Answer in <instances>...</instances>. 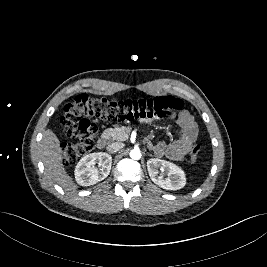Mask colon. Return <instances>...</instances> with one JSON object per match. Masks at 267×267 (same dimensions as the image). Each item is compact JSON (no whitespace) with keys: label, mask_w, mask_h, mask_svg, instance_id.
Masks as SVG:
<instances>
[{"label":"colon","mask_w":267,"mask_h":267,"mask_svg":"<svg viewBox=\"0 0 267 267\" xmlns=\"http://www.w3.org/2000/svg\"><path fill=\"white\" fill-rule=\"evenodd\" d=\"M184 111V102L173 96L114 100L104 96L77 95L65 105L61 118L70 139L62 146L63 163L71 166L93 148L98 131L94 118L107 121L151 120L176 116ZM200 150L199 144L191 147L189 156L192 161L198 159Z\"/></svg>","instance_id":"obj_1"}]
</instances>
